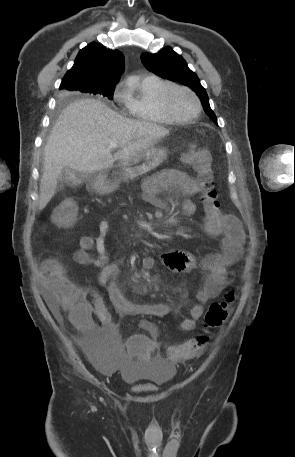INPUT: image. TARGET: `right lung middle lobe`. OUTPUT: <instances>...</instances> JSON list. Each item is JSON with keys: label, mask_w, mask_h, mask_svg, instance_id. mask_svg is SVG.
I'll return each instance as SVG.
<instances>
[{"label": "right lung middle lobe", "mask_w": 295, "mask_h": 457, "mask_svg": "<svg viewBox=\"0 0 295 457\" xmlns=\"http://www.w3.org/2000/svg\"><path fill=\"white\" fill-rule=\"evenodd\" d=\"M72 87L75 90H79L81 92L90 93V94H94V95H102L109 99H113V94H114V89H115V85L104 86V87L96 88V89H92L88 85H85V84H74Z\"/></svg>", "instance_id": "obj_1"}]
</instances>
